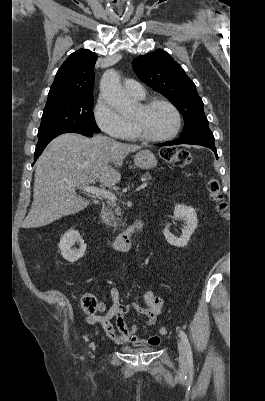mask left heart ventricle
<instances>
[{
	"mask_svg": "<svg viewBox=\"0 0 265 401\" xmlns=\"http://www.w3.org/2000/svg\"><path fill=\"white\" fill-rule=\"evenodd\" d=\"M132 120L139 123L145 134L153 137L168 135L176 128L174 113L161 104L155 105L147 111H144L139 105Z\"/></svg>",
	"mask_w": 265,
	"mask_h": 401,
	"instance_id": "1",
	"label": "left heart ventricle"
}]
</instances>
